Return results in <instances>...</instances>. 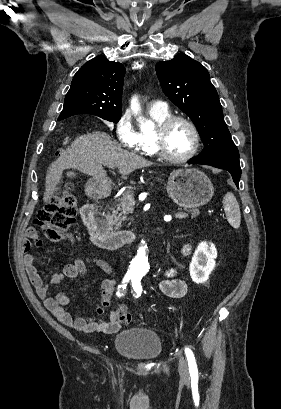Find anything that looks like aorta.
Wrapping results in <instances>:
<instances>
[{"label":"aorta","mask_w":281,"mask_h":409,"mask_svg":"<svg viewBox=\"0 0 281 409\" xmlns=\"http://www.w3.org/2000/svg\"><path fill=\"white\" fill-rule=\"evenodd\" d=\"M133 110L135 111V112H138V110H139V106H138V104H136V103H134L133 104ZM140 122H141V128L142 129H149L150 127H151V123L150 122H144L143 120H141V118H140Z\"/></svg>","instance_id":"aorta-1"}]
</instances>
